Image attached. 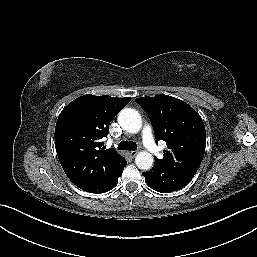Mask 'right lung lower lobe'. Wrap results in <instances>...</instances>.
<instances>
[{
	"instance_id": "98d812e1",
	"label": "right lung lower lobe",
	"mask_w": 257,
	"mask_h": 257,
	"mask_svg": "<svg viewBox=\"0 0 257 257\" xmlns=\"http://www.w3.org/2000/svg\"><path fill=\"white\" fill-rule=\"evenodd\" d=\"M126 164H127L126 160L123 158L120 168L110 179H108L105 182H102L98 185L84 187L81 189L84 191L90 192V193H104V192H107V191L113 189L117 185L118 177H120L122 175L123 168L126 166Z\"/></svg>"
}]
</instances>
